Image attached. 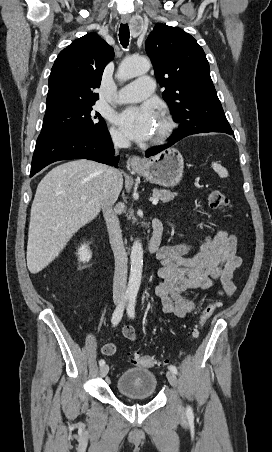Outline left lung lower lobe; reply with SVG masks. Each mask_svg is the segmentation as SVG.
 <instances>
[{"label":"left lung lower lobe","mask_w":272,"mask_h":452,"mask_svg":"<svg viewBox=\"0 0 272 452\" xmlns=\"http://www.w3.org/2000/svg\"><path fill=\"white\" fill-rule=\"evenodd\" d=\"M202 132H224L230 135H233V131L232 129H227V130H223V131H207V130H200V129H192V128H179L177 131H175L172 136H170L169 140L170 142L163 145V146H156V147H152L150 149H148L146 151V157H150L153 156L159 152H161L162 150L172 146L173 144H175L177 141H179L180 139L188 136V135H192V134H197V133H202Z\"/></svg>","instance_id":"obj_1"}]
</instances>
